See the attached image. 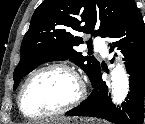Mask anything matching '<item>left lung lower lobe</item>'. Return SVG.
Masks as SVG:
<instances>
[{
	"label": "left lung lower lobe",
	"mask_w": 145,
	"mask_h": 124,
	"mask_svg": "<svg viewBox=\"0 0 145 124\" xmlns=\"http://www.w3.org/2000/svg\"><path fill=\"white\" fill-rule=\"evenodd\" d=\"M110 52L121 51L130 75V92L126 102L116 108L111 103L108 87L102 80L101 68L92 83L93 91L79 106L66 113L67 116H91L115 124H143L145 95V29L143 18L136 6L111 37ZM114 58L112 59V61Z\"/></svg>",
	"instance_id": "obj_1"
}]
</instances>
